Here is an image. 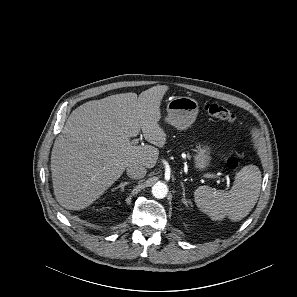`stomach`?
Returning <instances> with one entry per match:
<instances>
[{
  "mask_svg": "<svg viewBox=\"0 0 297 297\" xmlns=\"http://www.w3.org/2000/svg\"><path fill=\"white\" fill-rule=\"evenodd\" d=\"M166 122L179 130L190 127L198 114V102L190 97H174L167 104ZM210 148L207 145L199 146L195 156L196 167L203 169L209 165Z\"/></svg>",
  "mask_w": 297,
  "mask_h": 297,
  "instance_id": "0dacf381",
  "label": "stomach"
}]
</instances>
